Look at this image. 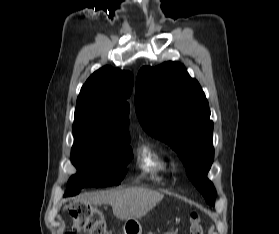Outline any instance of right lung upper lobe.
I'll return each mask as SVG.
<instances>
[{"label":"right lung upper lobe","instance_id":"cb5924a9","mask_svg":"<svg viewBox=\"0 0 279 234\" xmlns=\"http://www.w3.org/2000/svg\"><path fill=\"white\" fill-rule=\"evenodd\" d=\"M133 75L105 66L94 72L81 88L75 125L98 138H130L129 104Z\"/></svg>","mask_w":279,"mask_h":234}]
</instances>
